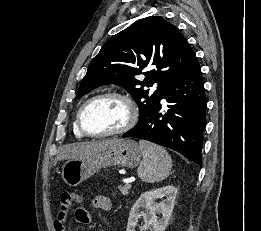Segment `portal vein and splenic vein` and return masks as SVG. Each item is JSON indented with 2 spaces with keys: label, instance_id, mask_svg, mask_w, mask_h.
<instances>
[{
  "label": "portal vein and splenic vein",
  "instance_id": "portal-vein-and-splenic-vein-1",
  "mask_svg": "<svg viewBox=\"0 0 261 231\" xmlns=\"http://www.w3.org/2000/svg\"><path fill=\"white\" fill-rule=\"evenodd\" d=\"M124 182L126 183L127 186H130V183L133 182V180L128 179V180H125Z\"/></svg>",
  "mask_w": 261,
  "mask_h": 231
}]
</instances>
